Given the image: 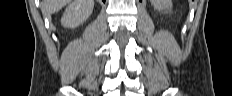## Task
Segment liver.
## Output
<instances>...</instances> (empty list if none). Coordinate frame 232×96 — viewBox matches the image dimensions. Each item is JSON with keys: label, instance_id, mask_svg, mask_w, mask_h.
I'll use <instances>...</instances> for the list:
<instances>
[{"label": "liver", "instance_id": "liver-1", "mask_svg": "<svg viewBox=\"0 0 232 96\" xmlns=\"http://www.w3.org/2000/svg\"><path fill=\"white\" fill-rule=\"evenodd\" d=\"M71 1L72 0H43L41 8L44 13L51 15L58 12Z\"/></svg>", "mask_w": 232, "mask_h": 96}]
</instances>
